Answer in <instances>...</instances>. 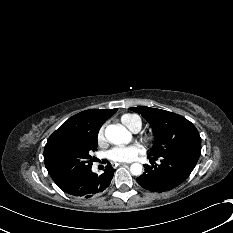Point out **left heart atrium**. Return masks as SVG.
<instances>
[{
    "mask_svg": "<svg viewBox=\"0 0 233 233\" xmlns=\"http://www.w3.org/2000/svg\"><path fill=\"white\" fill-rule=\"evenodd\" d=\"M142 152V147L138 144L129 146H118L110 150L109 158L115 162H131Z\"/></svg>",
    "mask_w": 233,
    "mask_h": 233,
    "instance_id": "1",
    "label": "left heart atrium"
}]
</instances>
